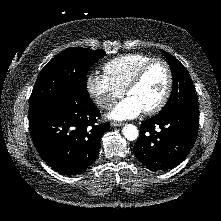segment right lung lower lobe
<instances>
[{"label":"right lung lower lobe","mask_w":221,"mask_h":221,"mask_svg":"<svg viewBox=\"0 0 221 221\" xmlns=\"http://www.w3.org/2000/svg\"><path fill=\"white\" fill-rule=\"evenodd\" d=\"M100 111L89 100L61 98L29 118L33 143L40 157L64 175L83 173L97 158L109 123L95 124Z\"/></svg>","instance_id":"1"}]
</instances>
